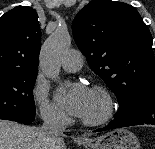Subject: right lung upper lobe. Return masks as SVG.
<instances>
[{
    "label": "right lung upper lobe",
    "mask_w": 155,
    "mask_h": 149,
    "mask_svg": "<svg viewBox=\"0 0 155 149\" xmlns=\"http://www.w3.org/2000/svg\"><path fill=\"white\" fill-rule=\"evenodd\" d=\"M41 31L31 7L17 6L0 17V71L38 72Z\"/></svg>",
    "instance_id": "obj_1"
}]
</instances>
